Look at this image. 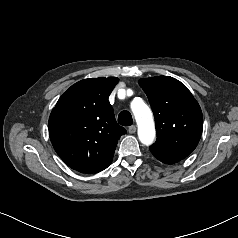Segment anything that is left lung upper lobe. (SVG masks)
Instances as JSON below:
<instances>
[{"instance_id": "left-lung-upper-lobe-1", "label": "left lung upper lobe", "mask_w": 238, "mask_h": 238, "mask_svg": "<svg viewBox=\"0 0 238 238\" xmlns=\"http://www.w3.org/2000/svg\"><path fill=\"white\" fill-rule=\"evenodd\" d=\"M139 85L146 93L154 113L157 140L151 152L185 158L197 146L203 129L198 102L188 88L175 78H142Z\"/></svg>"}]
</instances>
